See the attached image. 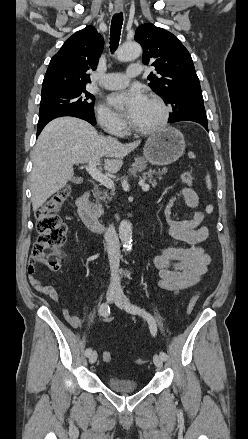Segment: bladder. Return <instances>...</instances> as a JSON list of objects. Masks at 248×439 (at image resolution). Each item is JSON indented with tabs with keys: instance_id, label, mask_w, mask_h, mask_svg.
<instances>
[{
	"instance_id": "bladder-1",
	"label": "bladder",
	"mask_w": 248,
	"mask_h": 439,
	"mask_svg": "<svg viewBox=\"0 0 248 439\" xmlns=\"http://www.w3.org/2000/svg\"><path fill=\"white\" fill-rule=\"evenodd\" d=\"M107 385L114 392L128 393L138 390V384L133 379L121 378L117 376H109Z\"/></svg>"
}]
</instances>
